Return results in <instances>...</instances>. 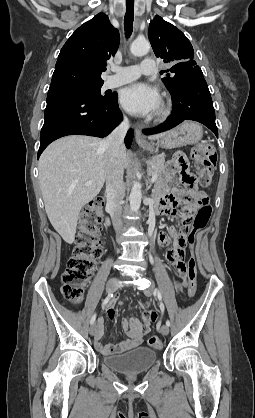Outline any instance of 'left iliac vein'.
<instances>
[{
    "instance_id": "obj_1",
    "label": "left iliac vein",
    "mask_w": 255,
    "mask_h": 418,
    "mask_svg": "<svg viewBox=\"0 0 255 418\" xmlns=\"http://www.w3.org/2000/svg\"><path fill=\"white\" fill-rule=\"evenodd\" d=\"M144 294H145L146 296H151V295L153 294V287H149V288L145 289V290H144ZM161 333H162L163 335H168V334H169V326H167V325H163V326L161 327Z\"/></svg>"
}]
</instances>
